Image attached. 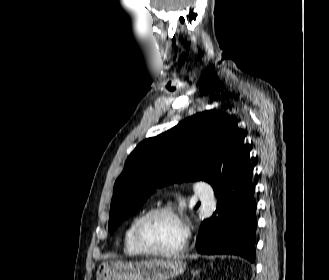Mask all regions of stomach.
I'll use <instances>...</instances> for the list:
<instances>
[{
  "instance_id": "1",
  "label": "stomach",
  "mask_w": 329,
  "mask_h": 280,
  "mask_svg": "<svg viewBox=\"0 0 329 280\" xmlns=\"http://www.w3.org/2000/svg\"><path fill=\"white\" fill-rule=\"evenodd\" d=\"M186 262L182 259L141 262L110 261L102 263L96 280H169L184 273Z\"/></svg>"
}]
</instances>
